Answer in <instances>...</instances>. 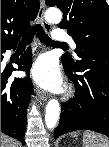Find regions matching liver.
Returning a JSON list of instances; mask_svg holds the SVG:
<instances>
[{"label":"liver","mask_w":109,"mask_h":147,"mask_svg":"<svg viewBox=\"0 0 109 147\" xmlns=\"http://www.w3.org/2000/svg\"><path fill=\"white\" fill-rule=\"evenodd\" d=\"M1 147H20V144L16 140H14L13 138L2 135Z\"/></svg>","instance_id":"obj_1"}]
</instances>
